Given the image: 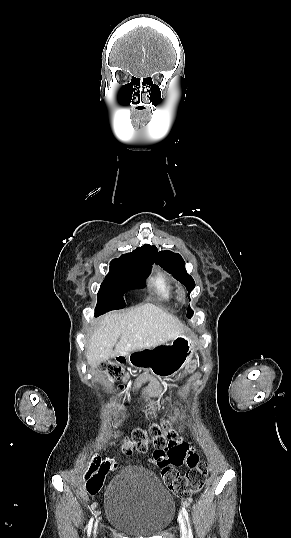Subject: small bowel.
Wrapping results in <instances>:
<instances>
[{
	"label": "small bowel",
	"instance_id": "c3829d8e",
	"mask_svg": "<svg viewBox=\"0 0 291 538\" xmlns=\"http://www.w3.org/2000/svg\"><path fill=\"white\" fill-rule=\"evenodd\" d=\"M182 370L184 373L186 374H196L197 373V370H198V367L197 365L195 364V362H192V363H186L183 365L182 367ZM177 376H180V373H177ZM146 380L145 377H138L135 381H134V388L137 390L141 383L144 382ZM128 381V376H125L124 378V382H127ZM169 386L168 383H165V382H159L157 380H152L150 385H148L146 388H144L142 391H141V396L143 397L144 400H146V412L149 416L151 417H154L156 415V413L159 411L160 409V406L156 403H154L153 401H151L149 399L150 396H156V395H163L166 393V390H167V387ZM179 441L180 442H186L190 448L193 450V447L191 445L190 442L182 439V438H179ZM194 451V450H193Z\"/></svg>",
	"mask_w": 291,
	"mask_h": 538
}]
</instances>
